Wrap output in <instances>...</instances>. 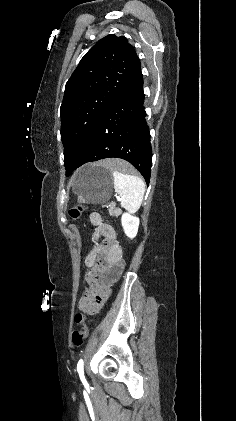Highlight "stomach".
Listing matches in <instances>:
<instances>
[{
    "mask_svg": "<svg viewBox=\"0 0 236 421\" xmlns=\"http://www.w3.org/2000/svg\"><path fill=\"white\" fill-rule=\"evenodd\" d=\"M113 172L101 164H85L78 168L73 190L79 202L104 204L112 196Z\"/></svg>",
    "mask_w": 236,
    "mask_h": 421,
    "instance_id": "stomach-1",
    "label": "stomach"
}]
</instances>
